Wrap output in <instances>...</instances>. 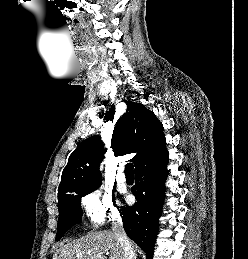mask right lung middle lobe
<instances>
[{
  "label": "right lung middle lobe",
  "instance_id": "1",
  "mask_svg": "<svg viewBox=\"0 0 248 259\" xmlns=\"http://www.w3.org/2000/svg\"><path fill=\"white\" fill-rule=\"evenodd\" d=\"M100 185L101 183L80 187L58 197L59 220L56 241L59 240L71 226L81 222V197L98 189Z\"/></svg>",
  "mask_w": 248,
  "mask_h": 259
}]
</instances>
